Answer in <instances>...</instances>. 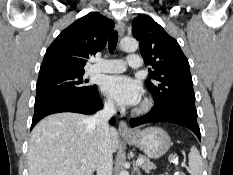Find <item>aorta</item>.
Wrapping results in <instances>:
<instances>
[{"label": "aorta", "mask_w": 233, "mask_h": 175, "mask_svg": "<svg viewBox=\"0 0 233 175\" xmlns=\"http://www.w3.org/2000/svg\"><path fill=\"white\" fill-rule=\"evenodd\" d=\"M138 42L134 38H123L120 41V48L126 52H135L138 49ZM120 175H129L128 171L122 170Z\"/></svg>", "instance_id": "obj_1"}]
</instances>
